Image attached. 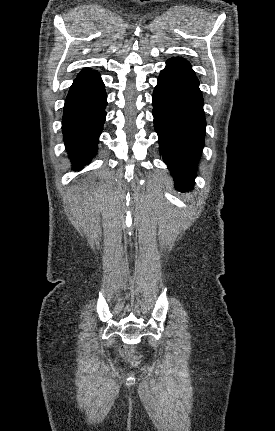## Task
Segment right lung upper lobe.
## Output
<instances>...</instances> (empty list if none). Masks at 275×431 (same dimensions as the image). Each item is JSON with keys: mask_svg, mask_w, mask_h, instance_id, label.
<instances>
[{"mask_svg": "<svg viewBox=\"0 0 275 431\" xmlns=\"http://www.w3.org/2000/svg\"><path fill=\"white\" fill-rule=\"evenodd\" d=\"M89 71H90L89 69H84L83 71H81V72L79 73V75H82V74L87 73V72H89Z\"/></svg>", "mask_w": 275, "mask_h": 431, "instance_id": "cb5924a9", "label": "right lung upper lobe"}]
</instances>
